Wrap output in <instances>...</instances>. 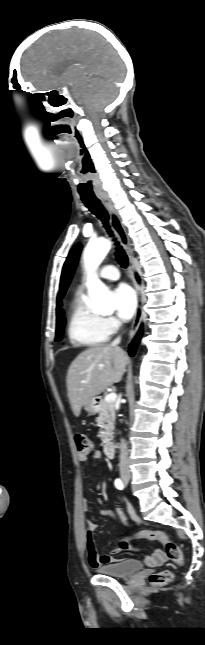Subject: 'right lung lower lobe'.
I'll return each mask as SVG.
<instances>
[{"label": "right lung lower lobe", "mask_w": 205, "mask_h": 645, "mask_svg": "<svg viewBox=\"0 0 205 645\" xmlns=\"http://www.w3.org/2000/svg\"><path fill=\"white\" fill-rule=\"evenodd\" d=\"M137 279L139 281L138 277H137ZM142 331H143V326L141 325L137 335L135 336L134 340L132 341V343L129 346V355L130 356H133L134 353H135V350H136V348H137V346L139 344V341L141 339V336H142Z\"/></svg>", "instance_id": "1"}]
</instances>
